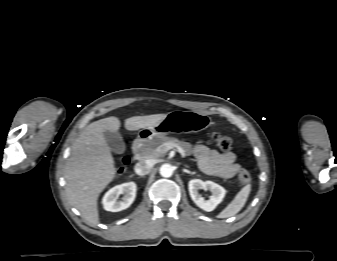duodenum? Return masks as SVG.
<instances>
[{
  "label": "duodenum",
  "instance_id": "410a0bca",
  "mask_svg": "<svg viewBox=\"0 0 337 261\" xmlns=\"http://www.w3.org/2000/svg\"><path fill=\"white\" fill-rule=\"evenodd\" d=\"M144 141H145L144 136H139L134 140L133 145H132V152L135 156L139 154L140 148Z\"/></svg>",
  "mask_w": 337,
  "mask_h": 261
}]
</instances>
